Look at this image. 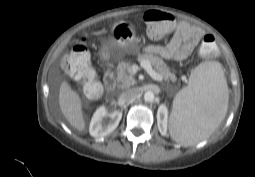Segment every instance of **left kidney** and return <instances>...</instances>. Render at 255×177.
I'll use <instances>...</instances> for the list:
<instances>
[{"instance_id":"left-kidney-1","label":"left kidney","mask_w":255,"mask_h":177,"mask_svg":"<svg viewBox=\"0 0 255 177\" xmlns=\"http://www.w3.org/2000/svg\"><path fill=\"white\" fill-rule=\"evenodd\" d=\"M168 110L165 105H161L157 111L158 127L165 132L167 127Z\"/></svg>"}]
</instances>
